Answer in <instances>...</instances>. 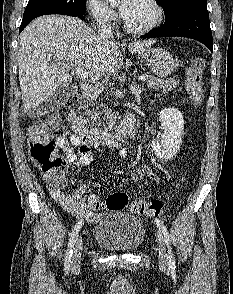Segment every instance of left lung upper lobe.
Segmentation results:
<instances>
[{"label":"left lung upper lobe","mask_w":233,"mask_h":294,"mask_svg":"<svg viewBox=\"0 0 233 294\" xmlns=\"http://www.w3.org/2000/svg\"><path fill=\"white\" fill-rule=\"evenodd\" d=\"M159 3L165 13V16L170 15L176 9L185 5H199L206 6V0H156Z\"/></svg>","instance_id":"5c2ea615"}]
</instances>
